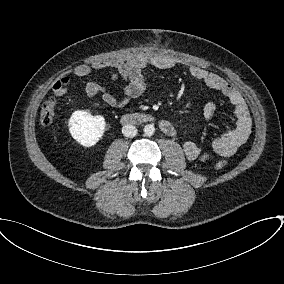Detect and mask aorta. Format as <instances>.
I'll return each instance as SVG.
<instances>
[{"instance_id":"1","label":"aorta","mask_w":284,"mask_h":284,"mask_svg":"<svg viewBox=\"0 0 284 284\" xmlns=\"http://www.w3.org/2000/svg\"><path fill=\"white\" fill-rule=\"evenodd\" d=\"M155 132V127L152 124H148L144 127V133L146 136H152Z\"/></svg>"}]
</instances>
